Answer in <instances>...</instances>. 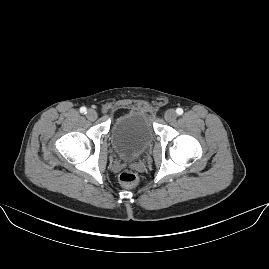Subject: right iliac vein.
Instances as JSON below:
<instances>
[{
	"label": "right iliac vein",
	"mask_w": 269,
	"mask_h": 269,
	"mask_svg": "<svg viewBox=\"0 0 269 269\" xmlns=\"http://www.w3.org/2000/svg\"><path fill=\"white\" fill-rule=\"evenodd\" d=\"M86 116L89 120L93 121V120L97 119V112L93 109H89L86 112Z\"/></svg>",
	"instance_id": "right-iliac-vein-1"
}]
</instances>
